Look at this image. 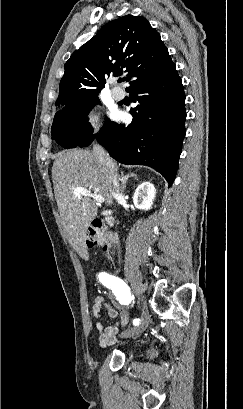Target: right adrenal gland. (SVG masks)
Listing matches in <instances>:
<instances>
[{"label":"right adrenal gland","mask_w":243,"mask_h":409,"mask_svg":"<svg viewBox=\"0 0 243 409\" xmlns=\"http://www.w3.org/2000/svg\"><path fill=\"white\" fill-rule=\"evenodd\" d=\"M130 177H134V178L136 179V178H137V175L134 174V173H130V174L124 175L123 173H121V179H120V180H121V191H122V192L125 191V189H126V183H127L128 179H129Z\"/></svg>","instance_id":"2a0ac1e0"}]
</instances>
